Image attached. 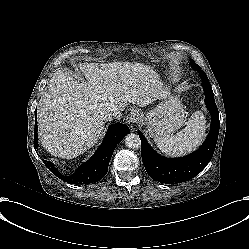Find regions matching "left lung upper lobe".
Masks as SVG:
<instances>
[{
    "mask_svg": "<svg viewBox=\"0 0 249 249\" xmlns=\"http://www.w3.org/2000/svg\"><path fill=\"white\" fill-rule=\"evenodd\" d=\"M193 67H194L197 71H200V74H201V76H202L203 78L206 77L205 72H204V71H201V68H200L197 64L193 63Z\"/></svg>",
    "mask_w": 249,
    "mask_h": 249,
    "instance_id": "5c2ea615",
    "label": "left lung upper lobe"
}]
</instances>
